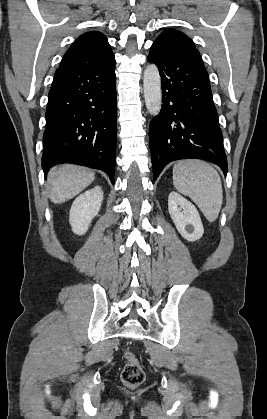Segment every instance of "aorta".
I'll use <instances>...</instances> for the list:
<instances>
[{
    "mask_svg": "<svg viewBox=\"0 0 267 419\" xmlns=\"http://www.w3.org/2000/svg\"><path fill=\"white\" fill-rule=\"evenodd\" d=\"M144 98L147 110L152 115H158L162 104L161 77L158 67L150 64L144 71Z\"/></svg>",
    "mask_w": 267,
    "mask_h": 419,
    "instance_id": "1",
    "label": "aorta"
}]
</instances>
